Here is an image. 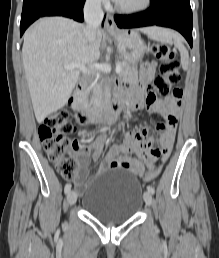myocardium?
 I'll use <instances>...</instances> for the list:
<instances>
[{"instance_id":"myocardium-1","label":"myocardium","mask_w":219,"mask_h":258,"mask_svg":"<svg viewBox=\"0 0 219 258\" xmlns=\"http://www.w3.org/2000/svg\"><path fill=\"white\" fill-rule=\"evenodd\" d=\"M151 2L152 0H143L137 6H124L119 4L118 2H115V8L116 10L124 14H137L148 9L151 5Z\"/></svg>"}]
</instances>
